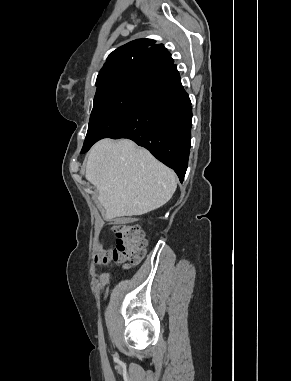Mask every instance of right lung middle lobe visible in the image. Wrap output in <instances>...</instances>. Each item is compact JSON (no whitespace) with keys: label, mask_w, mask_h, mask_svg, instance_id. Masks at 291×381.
I'll return each instance as SVG.
<instances>
[{"label":"right lung middle lobe","mask_w":291,"mask_h":381,"mask_svg":"<svg viewBox=\"0 0 291 381\" xmlns=\"http://www.w3.org/2000/svg\"><path fill=\"white\" fill-rule=\"evenodd\" d=\"M141 80V77L128 78L96 92L82 151L102 138L118 135Z\"/></svg>","instance_id":"obj_1"}]
</instances>
